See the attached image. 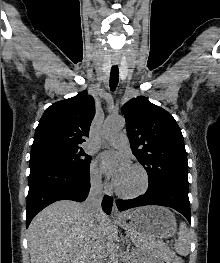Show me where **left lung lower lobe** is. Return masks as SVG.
Returning a JSON list of instances; mask_svg holds the SVG:
<instances>
[{
  "label": "left lung lower lobe",
  "mask_w": 220,
  "mask_h": 263,
  "mask_svg": "<svg viewBox=\"0 0 220 263\" xmlns=\"http://www.w3.org/2000/svg\"><path fill=\"white\" fill-rule=\"evenodd\" d=\"M116 205L120 211L145 205L171 207L184 215L191 223L188 190L173 184L163 183L148 187L143 196L131 200H117Z\"/></svg>",
  "instance_id": "0a47b994"
}]
</instances>
